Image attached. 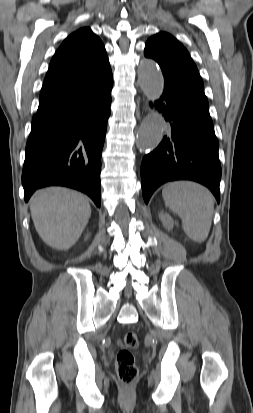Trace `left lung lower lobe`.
Returning a JSON list of instances; mask_svg holds the SVG:
<instances>
[{
    "label": "left lung lower lobe",
    "instance_id": "obj_1",
    "mask_svg": "<svg viewBox=\"0 0 253 413\" xmlns=\"http://www.w3.org/2000/svg\"><path fill=\"white\" fill-rule=\"evenodd\" d=\"M164 92L156 108L169 122L159 146L141 163L142 193L148 203L163 183L193 180L207 186L220 202L221 166L204 87L180 78L164 76Z\"/></svg>",
    "mask_w": 253,
    "mask_h": 413
}]
</instances>
